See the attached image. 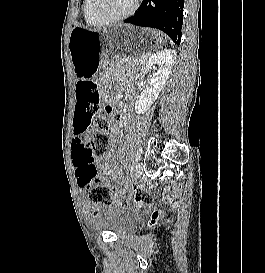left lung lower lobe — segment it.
Segmentation results:
<instances>
[{
	"label": "left lung lower lobe",
	"instance_id": "left-lung-lower-lobe-1",
	"mask_svg": "<svg viewBox=\"0 0 265 273\" xmlns=\"http://www.w3.org/2000/svg\"><path fill=\"white\" fill-rule=\"evenodd\" d=\"M184 0H144L134 16L124 22L165 32L180 45Z\"/></svg>",
	"mask_w": 265,
	"mask_h": 273
}]
</instances>
